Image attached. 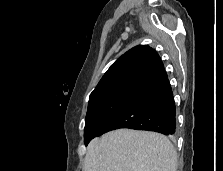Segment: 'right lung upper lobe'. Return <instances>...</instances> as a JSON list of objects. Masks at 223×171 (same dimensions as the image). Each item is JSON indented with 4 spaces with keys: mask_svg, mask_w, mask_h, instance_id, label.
<instances>
[{
    "mask_svg": "<svg viewBox=\"0 0 223 171\" xmlns=\"http://www.w3.org/2000/svg\"><path fill=\"white\" fill-rule=\"evenodd\" d=\"M166 77L156 51L146 45L136 46L111 65L91 93L89 103L116 94L139 95Z\"/></svg>",
    "mask_w": 223,
    "mask_h": 171,
    "instance_id": "1",
    "label": "right lung upper lobe"
}]
</instances>
